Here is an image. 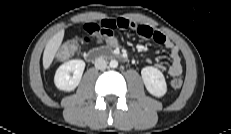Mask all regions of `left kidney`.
Listing matches in <instances>:
<instances>
[{
	"instance_id": "5707ae66",
	"label": "left kidney",
	"mask_w": 231,
	"mask_h": 134,
	"mask_svg": "<svg viewBox=\"0 0 231 134\" xmlns=\"http://www.w3.org/2000/svg\"><path fill=\"white\" fill-rule=\"evenodd\" d=\"M141 75L146 89L155 97H162L167 92V85L163 73L152 66L144 67Z\"/></svg>"
}]
</instances>
